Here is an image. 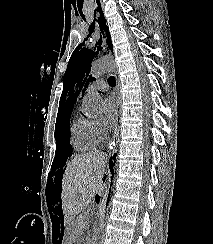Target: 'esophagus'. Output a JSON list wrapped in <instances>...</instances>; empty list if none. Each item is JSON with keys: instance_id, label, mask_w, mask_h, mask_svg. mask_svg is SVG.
<instances>
[{"instance_id": "obj_1", "label": "esophagus", "mask_w": 213, "mask_h": 244, "mask_svg": "<svg viewBox=\"0 0 213 244\" xmlns=\"http://www.w3.org/2000/svg\"><path fill=\"white\" fill-rule=\"evenodd\" d=\"M104 43H105V46L108 49V51L111 52L109 49V43L106 38H104ZM115 95H116L117 102H118V112H117V118H116V124H115L114 132H113V137L109 144L110 149H113L115 147L117 138H118V134H119V121H120L121 112H120V98H119V94H118V85L115 89Z\"/></svg>"}]
</instances>
